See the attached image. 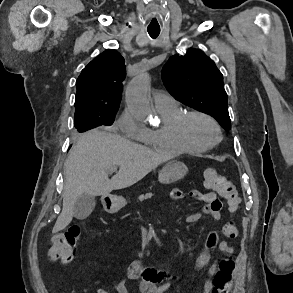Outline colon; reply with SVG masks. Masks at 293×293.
<instances>
[{
	"mask_svg": "<svg viewBox=\"0 0 293 293\" xmlns=\"http://www.w3.org/2000/svg\"><path fill=\"white\" fill-rule=\"evenodd\" d=\"M204 182L207 188L217 191L226 199L231 213L238 211L241 199L231 181L216 170L207 169L204 171ZM82 232L83 225L75 224L65 232L55 235L48 250L49 258L51 260H60L64 264L70 263L74 259L76 245L81 238ZM222 233L228 238L237 237L236 223L232 220L225 222L222 226ZM235 270L236 266L232 256L228 255L223 258L214 277V286L211 293H229Z\"/></svg>",
	"mask_w": 293,
	"mask_h": 293,
	"instance_id": "obj_1",
	"label": "colon"
}]
</instances>
